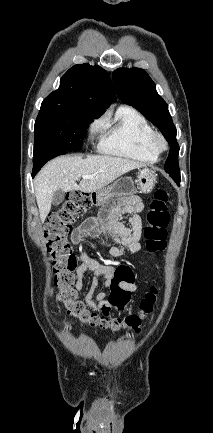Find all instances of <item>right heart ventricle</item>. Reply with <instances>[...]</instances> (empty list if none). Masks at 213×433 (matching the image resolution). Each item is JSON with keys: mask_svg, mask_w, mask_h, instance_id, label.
<instances>
[{"mask_svg": "<svg viewBox=\"0 0 213 433\" xmlns=\"http://www.w3.org/2000/svg\"><path fill=\"white\" fill-rule=\"evenodd\" d=\"M102 128L100 152L146 163L158 160L159 153L152 142L155 132L148 121L133 108L119 107L112 120L102 123Z\"/></svg>", "mask_w": 213, "mask_h": 433, "instance_id": "1", "label": "right heart ventricle"}]
</instances>
